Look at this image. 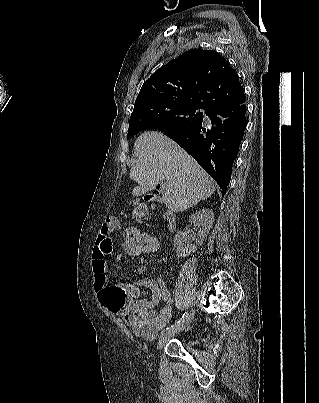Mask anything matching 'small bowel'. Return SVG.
<instances>
[{"label":"small bowel","instance_id":"c3829d8e","mask_svg":"<svg viewBox=\"0 0 319 403\" xmlns=\"http://www.w3.org/2000/svg\"><path fill=\"white\" fill-rule=\"evenodd\" d=\"M120 230L116 213H105L92 254L94 289L101 301V309H108L112 315H118L122 324H128L131 328L133 335L151 341L170 320L173 300L163 277L156 279L147 276L132 281V285H127L126 279H111L110 284L107 283L106 257L117 254L115 238ZM125 251L127 253L126 244ZM116 259L120 260L121 256ZM142 288L151 292V298L142 299V295H139ZM160 302L164 306L156 309Z\"/></svg>","mask_w":319,"mask_h":403}]
</instances>
